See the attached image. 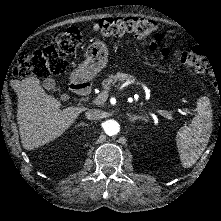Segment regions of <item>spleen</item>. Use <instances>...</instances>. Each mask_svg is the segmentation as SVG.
<instances>
[{"instance_id":"3e777b00","label":"spleen","mask_w":221,"mask_h":221,"mask_svg":"<svg viewBox=\"0 0 221 221\" xmlns=\"http://www.w3.org/2000/svg\"><path fill=\"white\" fill-rule=\"evenodd\" d=\"M213 129L212 110L206 97L197 101V113L189 125L179 128L177 142L184 167H191L204 152Z\"/></svg>"}]
</instances>
